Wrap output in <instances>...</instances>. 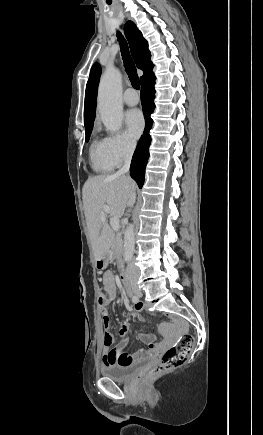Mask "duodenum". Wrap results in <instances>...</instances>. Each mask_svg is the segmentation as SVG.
<instances>
[{
    "label": "duodenum",
    "instance_id": "1",
    "mask_svg": "<svg viewBox=\"0 0 263 435\" xmlns=\"http://www.w3.org/2000/svg\"><path fill=\"white\" fill-rule=\"evenodd\" d=\"M120 279H121V282L126 290V293L130 296L132 294V288H131V285H130V282L128 280L127 275L125 273H121Z\"/></svg>",
    "mask_w": 263,
    "mask_h": 435
}]
</instances>
